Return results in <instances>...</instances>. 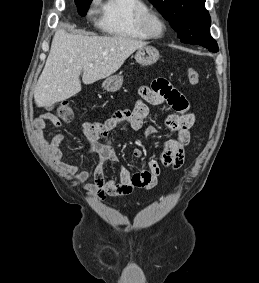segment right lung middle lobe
Returning <instances> with one entry per match:
<instances>
[{
    "label": "right lung middle lobe",
    "instance_id": "right-lung-middle-lobe-1",
    "mask_svg": "<svg viewBox=\"0 0 259 283\" xmlns=\"http://www.w3.org/2000/svg\"><path fill=\"white\" fill-rule=\"evenodd\" d=\"M92 0H75L77 5L78 13L81 16H85Z\"/></svg>",
    "mask_w": 259,
    "mask_h": 283
}]
</instances>
